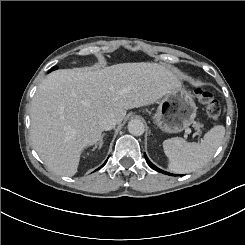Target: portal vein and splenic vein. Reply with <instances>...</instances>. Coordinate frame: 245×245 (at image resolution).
<instances>
[{"label": "portal vein and splenic vein", "instance_id": "1", "mask_svg": "<svg viewBox=\"0 0 245 245\" xmlns=\"http://www.w3.org/2000/svg\"><path fill=\"white\" fill-rule=\"evenodd\" d=\"M185 133H189L190 135H193L194 131L191 128H185Z\"/></svg>", "mask_w": 245, "mask_h": 245}]
</instances>
